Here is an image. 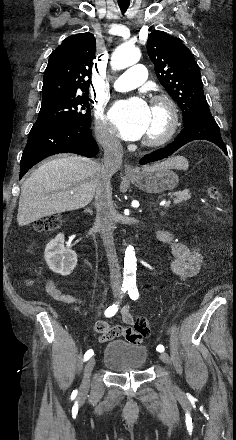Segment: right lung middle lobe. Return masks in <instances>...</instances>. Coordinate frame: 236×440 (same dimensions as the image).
<instances>
[{
	"mask_svg": "<svg viewBox=\"0 0 236 440\" xmlns=\"http://www.w3.org/2000/svg\"><path fill=\"white\" fill-rule=\"evenodd\" d=\"M41 121L90 127L91 114L87 94L42 105L36 122Z\"/></svg>",
	"mask_w": 236,
	"mask_h": 440,
	"instance_id": "obj_1",
	"label": "right lung middle lobe"
}]
</instances>
